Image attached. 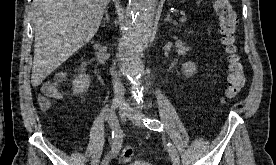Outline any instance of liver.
<instances>
[{
	"mask_svg": "<svg viewBox=\"0 0 276 165\" xmlns=\"http://www.w3.org/2000/svg\"><path fill=\"white\" fill-rule=\"evenodd\" d=\"M110 0H34V60L31 83L47 76L97 33Z\"/></svg>",
	"mask_w": 276,
	"mask_h": 165,
	"instance_id": "6515ba94",
	"label": "liver"
}]
</instances>
